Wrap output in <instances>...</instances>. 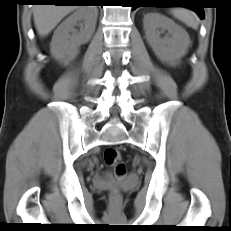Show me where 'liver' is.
I'll use <instances>...</instances> for the list:
<instances>
[{"label": "liver", "instance_id": "1", "mask_svg": "<svg viewBox=\"0 0 231 231\" xmlns=\"http://www.w3.org/2000/svg\"><path fill=\"white\" fill-rule=\"evenodd\" d=\"M75 5H36L33 7V19L38 34L47 36L69 13L78 9Z\"/></svg>", "mask_w": 231, "mask_h": 231}]
</instances>
